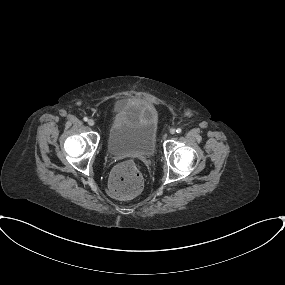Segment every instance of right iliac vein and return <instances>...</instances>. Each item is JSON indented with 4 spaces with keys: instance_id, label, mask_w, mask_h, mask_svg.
Returning <instances> with one entry per match:
<instances>
[{
    "instance_id": "63e3f726",
    "label": "right iliac vein",
    "mask_w": 285,
    "mask_h": 285,
    "mask_svg": "<svg viewBox=\"0 0 285 285\" xmlns=\"http://www.w3.org/2000/svg\"><path fill=\"white\" fill-rule=\"evenodd\" d=\"M88 125L89 126H94L95 125V121L93 119H89L88 120Z\"/></svg>"
}]
</instances>
